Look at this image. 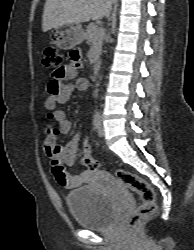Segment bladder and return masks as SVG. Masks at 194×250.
I'll use <instances>...</instances> for the list:
<instances>
[{
  "instance_id": "obj_1",
  "label": "bladder",
  "mask_w": 194,
  "mask_h": 250,
  "mask_svg": "<svg viewBox=\"0 0 194 250\" xmlns=\"http://www.w3.org/2000/svg\"><path fill=\"white\" fill-rule=\"evenodd\" d=\"M66 204L76 223L91 230L108 228L117 214L114 199L89 185L69 191Z\"/></svg>"
}]
</instances>
